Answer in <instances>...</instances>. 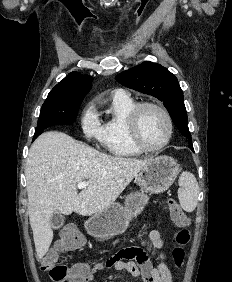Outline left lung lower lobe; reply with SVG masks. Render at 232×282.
<instances>
[{
  "instance_id": "obj_1",
  "label": "left lung lower lobe",
  "mask_w": 232,
  "mask_h": 282,
  "mask_svg": "<svg viewBox=\"0 0 232 282\" xmlns=\"http://www.w3.org/2000/svg\"><path fill=\"white\" fill-rule=\"evenodd\" d=\"M190 149L194 152V149H193V147H192V146L190 147Z\"/></svg>"
}]
</instances>
